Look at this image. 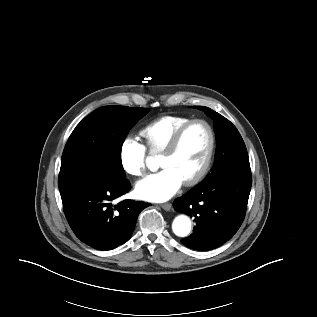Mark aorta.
<instances>
[{
	"label": "aorta",
	"instance_id": "1",
	"mask_svg": "<svg viewBox=\"0 0 317 317\" xmlns=\"http://www.w3.org/2000/svg\"><path fill=\"white\" fill-rule=\"evenodd\" d=\"M148 165L153 164L151 157L146 159ZM172 230L179 237H187L191 232V220L186 215L177 216L172 222Z\"/></svg>",
	"mask_w": 317,
	"mask_h": 317
}]
</instances>
